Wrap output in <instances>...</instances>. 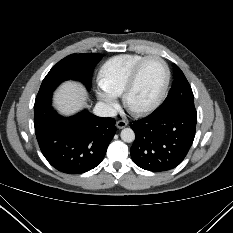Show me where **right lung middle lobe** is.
Segmentation results:
<instances>
[{"label":"right lung middle lobe","instance_id":"1","mask_svg":"<svg viewBox=\"0 0 233 233\" xmlns=\"http://www.w3.org/2000/svg\"><path fill=\"white\" fill-rule=\"evenodd\" d=\"M102 54H72L59 61L42 81L36 100L50 93L65 80L81 81L88 90L91 88L92 74Z\"/></svg>","mask_w":233,"mask_h":233}]
</instances>
